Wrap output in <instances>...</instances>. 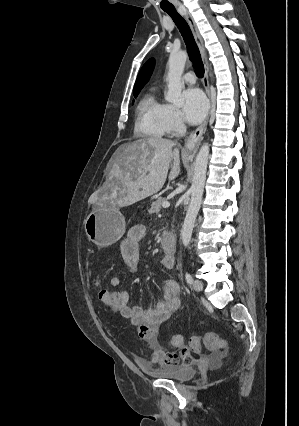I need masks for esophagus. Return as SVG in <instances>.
Listing matches in <instances>:
<instances>
[{"label": "esophagus", "instance_id": "34e87169", "mask_svg": "<svg viewBox=\"0 0 299 426\" xmlns=\"http://www.w3.org/2000/svg\"><path fill=\"white\" fill-rule=\"evenodd\" d=\"M182 14L184 15L185 19L187 20L196 44L199 48L201 57H202V62L204 65V77H203V86L205 88L206 94L209 98V103H210V110H209V114L212 108V102H211V94H210V86H209V65H208V61H207V56H206V51H205V47H204V43H203V39L199 33V30L197 28V25L192 17V15L187 12L184 11L182 12ZM208 119H209V115L207 116V118L205 119V121L195 130L193 131L189 137L186 139L185 142V148L184 151L186 153H192V152H196L197 149L199 148L200 142L202 140V136L206 131L207 128V123H208Z\"/></svg>", "mask_w": 299, "mask_h": 426}]
</instances>
